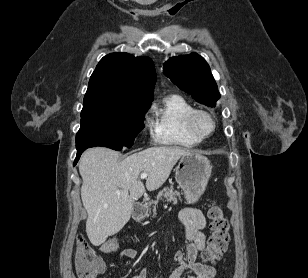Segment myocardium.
<instances>
[{"label": "myocardium", "instance_id": "obj_1", "mask_svg": "<svg viewBox=\"0 0 308 278\" xmlns=\"http://www.w3.org/2000/svg\"><path fill=\"white\" fill-rule=\"evenodd\" d=\"M198 116H205L210 120L212 128L208 133L202 134L197 130L195 121ZM185 125L188 132L195 138L199 139L200 141L209 138L211 135H213V133L216 130V121L213 115L208 111L201 109H194L193 111L188 113L187 116L185 117Z\"/></svg>", "mask_w": 308, "mask_h": 278}]
</instances>
